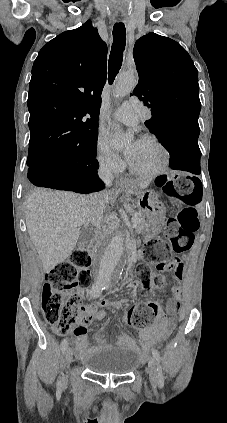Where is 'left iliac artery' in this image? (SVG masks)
<instances>
[{"label": "left iliac artery", "instance_id": "left-iliac-artery-1", "mask_svg": "<svg viewBox=\"0 0 227 423\" xmlns=\"http://www.w3.org/2000/svg\"><path fill=\"white\" fill-rule=\"evenodd\" d=\"M109 284H105L104 285V289L108 288ZM152 354L156 360L157 363V381H158V386L160 388H163L164 386V375H163V371H162V367H161V363H160V354L158 352L157 349L152 348Z\"/></svg>", "mask_w": 227, "mask_h": 423}]
</instances>
